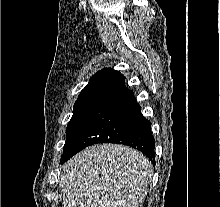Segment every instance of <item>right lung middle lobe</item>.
<instances>
[{
    "mask_svg": "<svg viewBox=\"0 0 220 207\" xmlns=\"http://www.w3.org/2000/svg\"><path fill=\"white\" fill-rule=\"evenodd\" d=\"M102 84H94L90 86H86L80 93L77 101L74 105L73 116L68 123L66 128V142L63 148V154L66 151L71 138L73 137L74 133L79 128L80 124L84 120L85 116L87 115L91 105L93 104L97 93L100 89Z\"/></svg>",
    "mask_w": 220,
    "mask_h": 207,
    "instance_id": "right-lung-middle-lobe-1",
    "label": "right lung middle lobe"
}]
</instances>
